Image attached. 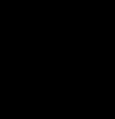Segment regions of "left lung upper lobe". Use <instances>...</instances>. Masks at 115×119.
Listing matches in <instances>:
<instances>
[{
    "label": "left lung upper lobe",
    "instance_id": "obj_1",
    "mask_svg": "<svg viewBox=\"0 0 115 119\" xmlns=\"http://www.w3.org/2000/svg\"><path fill=\"white\" fill-rule=\"evenodd\" d=\"M90 16L99 25V46L92 61L104 77L115 76V16L94 10L90 12Z\"/></svg>",
    "mask_w": 115,
    "mask_h": 119
}]
</instances>
